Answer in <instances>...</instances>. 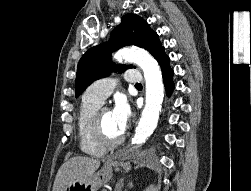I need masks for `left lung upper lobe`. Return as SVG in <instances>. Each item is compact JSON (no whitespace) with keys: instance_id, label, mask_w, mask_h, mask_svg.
Here are the masks:
<instances>
[{"instance_id":"5c2ea615","label":"left lung upper lobe","mask_w":251,"mask_h":191,"mask_svg":"<svg viewBox=\"0 0 251 191\" xmlns=\"http://www.w3.org/2000/svg\"><path fill=\"white\" fill-rule=\"evenodd\" d=\"M128 45L148 50L155 59L164 52V47L148 23L138 15L126 14L113 30L107 43L90 48L80 59L75 81V96L78 97L93 81L107 77L111 71L123 72L132 65H114L111 52Z\"/></svg>"}]
</instances>
